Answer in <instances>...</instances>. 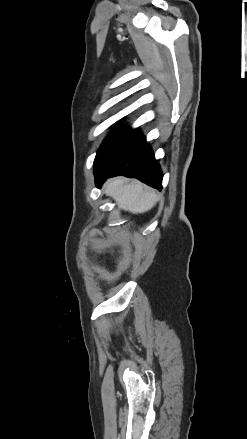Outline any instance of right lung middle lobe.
Returning <instances> with one entry per match:
<instances>
[{"label": "right lung middle lobe", "instance_id": "right-lung-middle-lobe-1", "mask_svg": "<svg viewBox=\"0 0 247 439\" xmlns=\"http://www.w3.org/2000/svg\"><path fill=\"white\" fill-rule=\"evenodd\" d=\"M139 133V130L127 126L115 127V130L103 141L100 146L94 167H98L111 153L128 143Z\"/></svg>", "mask_w": 247, "mask_h": 439}]
</instances>
